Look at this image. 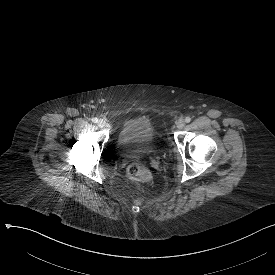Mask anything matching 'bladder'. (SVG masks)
I'll list each match as a JSON object with an SVG mask.
<instances>
[{
    "label": "bladder",
    "instance_id": "31cf9c89",
    "mask_svg": "<svg viewBox=\"0 0 275 275\" xmlns=\"http://www.w3.org/2000/svg\"><path fill=\"white\" fill-rule=\"evenodd\" d=\"M119 148L128 153L154 151V127L148 116L126 119L115 134Z\"/></svg>",
    "mask_w": 275,
    "mask_h": 275
}]
</instances>
